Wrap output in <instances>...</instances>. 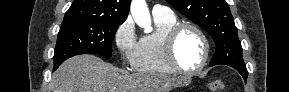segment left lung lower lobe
I'll return each mask as SVG.
<instances>
[{
    "mask_svg": "<svg viewBox=\"0 0 289 92\" xmlns=\"http://www.w3.org/2000/svg\"><path fill=\"white\" fill-rule=\"evenodd\" d=\"M233 68L236 69L242 75V77L244 78L246 82L247 77H248V72H247L246 67H233Z\"/></svg>",
    "mask_w": 289,
    "mask_h": 92,
    "instance_id": "1",
    "label": "left lung lower lobe"
}]
</instances>
